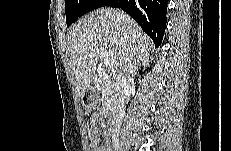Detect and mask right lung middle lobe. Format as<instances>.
I'll return each mask as SVG.
<instances>
[{"mask_svg":"<svg viewBox=\"0 0 231 151\" xmlns=\"http://www.w3.org/2000/svg\"><path fill=\"white\" fill-rule=\"evenodd\" d=\"M105 0H66V23L70 26L78 17L96 8L102 7Z\"/></svg>","mask_w":231,"mask_h":151,"instance_id":"obj_1","label":"right lung middle lobe"}]
</instances>
